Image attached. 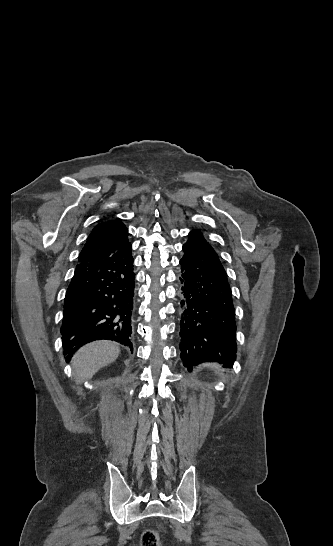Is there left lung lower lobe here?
<instances>
[{
	"instance_id": "left-lung-lower-lobe-1",
	"label": "left lung lower lobe",
	"mask_w": 333,
	"mask_h": 546,
	"mask_svg": "<svg viewBox=\"0 0 333 546\" xmlns=\"http://www.w3.org/2000/svg\"><path fill=\"white\" fill-rule=\"evenodd\" d=\"M180 260L183 300L180 350L183 365L205 361L231 368L236 360V321L226 272L199 230L189 233Z\"/></svg>"
}]
</instances>
